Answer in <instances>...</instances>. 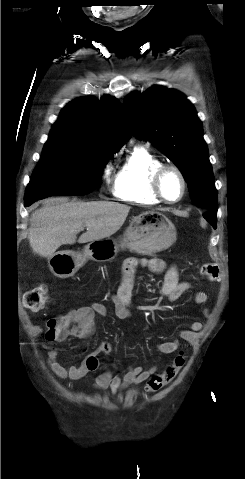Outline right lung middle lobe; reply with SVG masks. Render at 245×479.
Listing matches in <instances>:
<instances>
[{"mask_svg": "<svg viewBox=\"0 0 245 479\" xmlns=\"http://www.w3.org/2000/svg\"><path fill=\"white\" fill-rule=\"evenodd\" d=\"M117 151L49 136L24 200H39L52 195L80 196L92 192L103 168Z\"/></svg>", "mask_w": 245, "mask_h": 479, "instance_id": "1", "label": "right lung middle lobe"}]
</instances>
